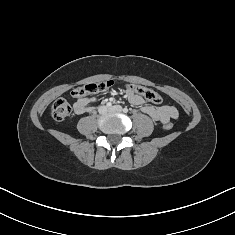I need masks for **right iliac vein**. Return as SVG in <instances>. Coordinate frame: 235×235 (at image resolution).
Here are the masks:
<instances>
[{
  "mask_svg": "<svg viewBox=\"0 0 235 235\" xmlns=\"http://www.w3.org/2000/svg\"><path fill=\"white\" fill-rule=\"evenodd\" d=\"M107 111H108V108H107L106 106H101V107L99 108V113H100V114H106Z\"/></svg>",
  "mask_w": 235,
  "mask_h": 235,
  "instance_id": "right-iliac-vein-1",
  "label": "right iliac vein"
}]
</instances>
